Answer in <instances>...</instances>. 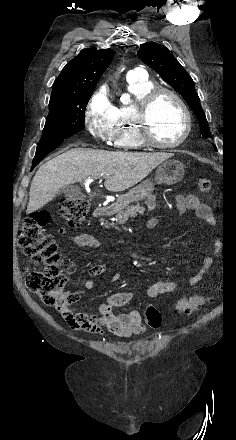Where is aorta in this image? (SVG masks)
Returning <instances> with one entry per match:
<instances>
[{
    "label": "aorta",
    "instance_id": "1",
    "mask_svg": "<svg viewBox=\"0 0 236 440\" xmlns=\"http://www.w3.org/2000/svg\"><path fill=\"white\" fill-rule=\"evenodd\" d=\"M122 103L125 105L129 104L130 103L129 97H125L124 99H122Z\"/></svg>",
    "mask_w": 236,
    "mask_h": 440
}]
</instances>
